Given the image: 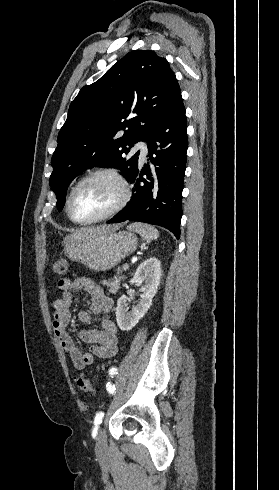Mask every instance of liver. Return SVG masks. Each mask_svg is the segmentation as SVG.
Segmentation results:
<instances>
[{
	"label": "liver",
	"mask_w": 279,
	"mask_h": 490,
	"mask_svg": "<svg viewBox=\"0 0 279 490\" xmlns=\"http://www.w3.org/2000/svg\"><path fill=\"white\" fill-rule=\"evenodd\" d=\"M121 224L118 226H97V228H81V230H77L74 232L72 236H74L75 240H79V238H84V240H89V238H96V236H102V234H109V232H115L120 228Z\"/></svg>",
	"instance_id": "6515ba94"
}]
</instances>
